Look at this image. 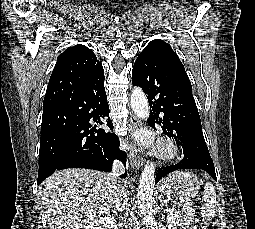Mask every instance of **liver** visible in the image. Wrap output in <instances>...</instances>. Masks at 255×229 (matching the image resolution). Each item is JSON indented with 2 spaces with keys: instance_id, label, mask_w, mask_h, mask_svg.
<instances>
[{
  "instance_id": "6515ba94",
  "label": "liver",
  "mask_w": 255,
  "mask_h": 229,
  "mask_svg": "<svg viewBox=\"0 0 255 229\" xmlns=\"http://www.w3.org/2000/svg\"><path fill=\"white\" fill-rule=\"evenodd\" d=\"M119 185L116 177L104 172L65 169L42 182L38 197L55 229H79L112 209Z\"/></svg>"
}]
</instances>
